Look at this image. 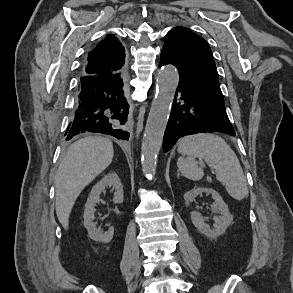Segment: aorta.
<instances>
[{
	"mask_svg": "<svg viewBox=\"0 0 293 293\" xmlns=\"http://www.w3.org/2000/svg\"><path fill=\"white\" fill-rule=\"evenodd\" d=\"M178 83L179 74L174 66L167 65L159 72L156 95L147 119L141 147V165L147 177H152L156 172L157 157Z\"/></svg>",
	"mask_w": 293,
	"mask_h": 293,
	"instance_id": "obj_1",
	"label": "aorta"
}]
</instances>
